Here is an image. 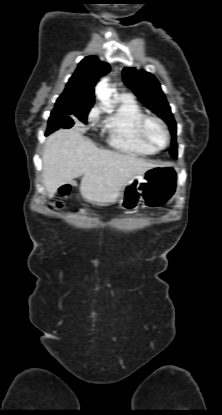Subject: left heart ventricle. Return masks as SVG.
Segmentation results:
<instances>
[{"label":"left heart ventricle","instance_id":"left-heart-ventricle-1","mask_svg":"<svg viewBox=\"0 0 222 415\" xmlns=\"http://www.w3.org/2000/svg\"><path fill=\"white\" fill-rule=\"evenodd\" d=\"M148 135L156 144L163 145L165 143V134L163 129L155 122H151L148 125Z\"/></svg>","mask_w":222,"mask_h":415}]
</instances>
